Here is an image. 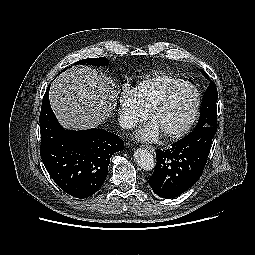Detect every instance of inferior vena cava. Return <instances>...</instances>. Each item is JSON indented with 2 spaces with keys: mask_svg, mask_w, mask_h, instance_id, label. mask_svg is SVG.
Segmentation results:
<instances>
[{
  "mask_svg": "<svg viewBox=\"0 0 255 255\" xmlns=\"http://www.w3.org/2000/svg\"><path fill=\"white\" fill-rule=\"evenodd\" d=\"M120 126L122 128H126V129H130L133 128L135 126V122L131 119H129L128 117H120Z\"/></svg>",
  "mask_w": 255,
  "mask_h": 255,
  "instance_id": "1",
  "label": "inferior vena cava"
}]
</instances>
